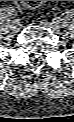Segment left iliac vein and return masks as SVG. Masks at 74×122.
Masks as SVG:
<instances>
[{
	"mask_svg": "<svg viewBox=\"0 0 74 122\" xmlns=\"http://www.w3.org/2000/svg\"><path fill=\"white\" fill-rule=\"evenodd\" d=\"M40 23L43 24L44 26L49 27L55 33H58V31H59L60 27H58L57 24H55V22L49 23L45 20H42V21H40Z\"/></svg>",
	"mask_w": 74,
	"mask_h": 122,
	"instance_id": "1",
	"label": "left iliac vein"
}]
</instances>
